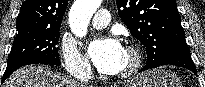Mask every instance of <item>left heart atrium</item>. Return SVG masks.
Here are the masks:
<instances>
[{"label":"left heart atrium","instance_id":"obj_1","mask_svg":"<svg viewBox=\"0 0 205 87\" xmlns=\"http://www.w3.org/2000/svg\"><path fill=\"white\" fill-rule=\"evenodd\" d=\"M124 48L113 38L94 42L89 46V54L97 69L104 74L119 71Z\"/></svg>","mask_w":205,"mask_h":87}]
</instances>
